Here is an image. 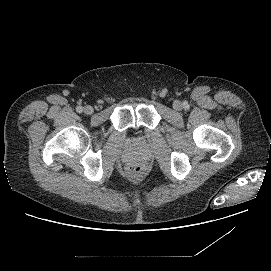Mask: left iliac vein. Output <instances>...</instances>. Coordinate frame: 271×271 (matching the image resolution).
<instances>
[{"instance_id": "1", "label": "left iliac vein", "mask_w": 271, "mask_h": 271, "mask_svg": "<svg viewBox=\"0 0 271 271\" xmlns=\"http://www.w3.org/2000/svg\"><path fill=\"white\" fill-rule=\"evenodd\" d=\"M173 107L176 110H180L182 108V104L179 101H175Z\"/></svg>"}]
</instances>
